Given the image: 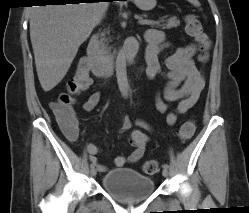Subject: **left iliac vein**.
Wrapping results in <instances>:
<instances>
[{
	"mask_svg": "<svg viewBox=\"0 0 249 213\" xmlns=\"http://www.w3.org/2000/svg\"><path fill=\"white\" fill-rule=\"evenodd\" d=\"M162 175H163L164 177H167V176L169 175L168 170H167V169H163Z\"/></svg>",
	"mask_w": 249,
	"mask_h": 213,
	"instance_id": "left-iliac-vein-1",
	"label": "left iliac vein"
}]
</instances>
